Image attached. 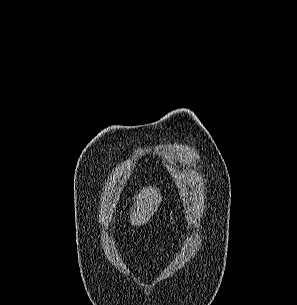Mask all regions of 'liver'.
Segmentation results:
<instances>
[{
	"label": "liver",
	"mask_w": 297,
	"mask_h": 305,
	"mask_svg": "<svg viewBox=\"0 0 297 305\" xmlns=\"http://www.w3.org/2000/svg\"><path fill=\"white\" fill-rule=\"evenodd\" d=\"M161 198L159 190L152 187L143 188L134 197L136 199V206L131 208L130 223L134 226H141L148 222L158 207Z\"/></svg>",
	"instance_id": "obj_1"
}]
</instances>
